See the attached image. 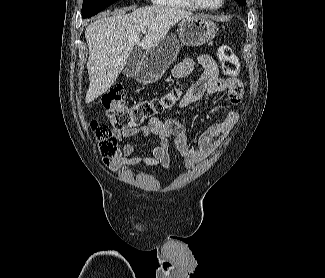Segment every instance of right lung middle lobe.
I'll list each match as a JSON object with an SVG mask.
<instances>
[{
    "instance_id": "dd1d6c3e",
    "label": "right lung middle lobe",
    "mask_w": 325,
    "mask_h": 278,
    "mask_svg": "<svg viewBox=\"0 0 325 278\" xmlns=\"http://www.w3.org/2000/svg\"><path fill=\"white\" fill-rule=\"evenodd\" d=\"M115 1L117 0H84L82 6V17L89 18L94 16Z\"/></svg>"
}]
</instances>
